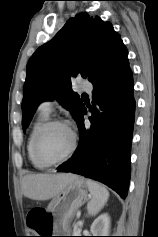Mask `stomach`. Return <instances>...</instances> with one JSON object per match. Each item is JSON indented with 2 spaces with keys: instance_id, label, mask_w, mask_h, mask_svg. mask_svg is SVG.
I'll list each match as a JSON object with an SVG mask.
<instances>
[{
  "instance_id": "0dacf381",
  "label": "stomach",
  "mask_w": 158,
  "mask_h": 237,
  "mask_svg": "<svg viewBox=\"0 0 158 237\" xmlns=\"http://www.w3.org/2000/svg\"><path fill=\"white\" fill-rule=\"evenodd\" d=\"M89 189L85 181L77 177L69 183L60 194L53 198L49 203L47 211L50 212L54 219L55 231L66 234L69 223L74 217L77 209L81 207L90 196ZM66 221L67 226H63Z\"/></svg>"
}]
</instances>
